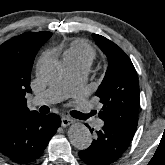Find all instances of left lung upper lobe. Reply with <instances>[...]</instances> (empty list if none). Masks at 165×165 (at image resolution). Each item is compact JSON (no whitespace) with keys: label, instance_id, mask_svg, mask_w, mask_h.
<instances>
[{"label":"left lung upper lobe","instance_id":"5c2ea615","mask_svg":"<svg viewBox=\"0 0 165 165\" xmlns=\"http://www.w3.org/2000/svg\"><path fill=\"white\" fill-rule=\"evenodd\" d=\"M108 58L106 75L96 96L103 103L99 118L123 132L134 135L139 111V84L135 68L126 53L107 38L93 34Z\"/></svg>","mask_w":165,"mask_h":165}]
</instances>
